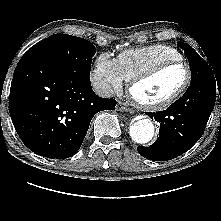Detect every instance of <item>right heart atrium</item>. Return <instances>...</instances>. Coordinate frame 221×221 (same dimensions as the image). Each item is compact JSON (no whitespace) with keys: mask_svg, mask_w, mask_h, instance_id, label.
<instances>
[{"mask_svg":"<svg viewBox=\"0 0 221 221\" xmlns=\"http://www.w3.org/2000/svg\"><path fill=\"white\" fill-rule=\"evenodd\" d=\"M93 85L102 92H120L123 88V77L118 69L117 61L107 53L100 54L91 72Z\"/></svg>","mask_w":221,"mask_h":221,"instance_id":"obj_1","label":"right heart atrium"}]
</instances>
